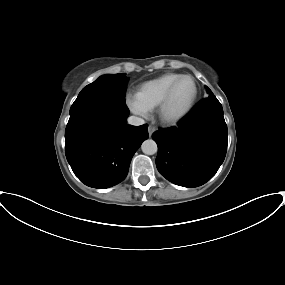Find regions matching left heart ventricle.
Segmentation results:
<instances>
[{"label": "left heart ventricle", "mask_w": 285, "mask_h": 285, "mask_svg": "<svg viewBox=\"0 0 285 285\" xmlns=\"http://www.w3.org/2000/svg\"><path fill=\"white\" fill-rule=\"evenodd\" d=\"M194 95V84L191 79H182L176 86L170 99L167 111L170 115L182 112L191 102Z\"/></svg>", "instance_id": "left-heart-ventricle-1"}]
</instances>
